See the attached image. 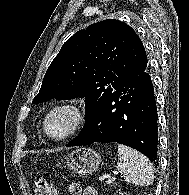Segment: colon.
I'll return each instance as SVG.
<instances>
[{"instance_id":"1","label":"colon","mask_w":189,"mask_h":195,"mask_svg":"<svg viewBox=\"0 0 189 195\" xmlns=\"http://www.w3.org/2000/svg\"><path fill=\"white\" fill-rule=\"evenodd\" d=\"M71 195H78L80 188L76 184H72L69 187ZM34 193L35 195H56V190L44 179L38 177L34 181Z\"/></svg>"}]
</instances>
